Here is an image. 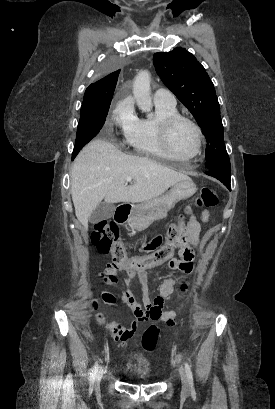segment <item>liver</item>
<instances>
[{"label": "liver", "instance_id": "obj_1", "mask_svg": "<svg viewBox=\"0 0 275 409\" xmlns=\"http://www.w3.org/2000/svg\"><path fill=\"white\" fill-rule=\"evenodd\" d=\"M132 176L133 182L125 184ZM189 178L146 156L124 154L112 142L94 138L77 154L71 172V194L75 215L88 229V219L105 202H147Z\"/></svg>", "mask_w": 275, "mask_h": 409}]
</instances>
